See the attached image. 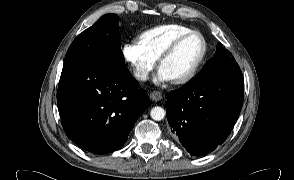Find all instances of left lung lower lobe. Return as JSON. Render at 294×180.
<instances>
[{"label": "left lung lower lobe", "instance_id": "obj_1", "mask_svg": "<svg viewBox=\"0 0 294 180\" xmlns=\"http://www.w3.org/2000/svg\"><path fill=\"white\" fill-rule=\"evenodd\" d=\"M241 73L222 74L203 82H188L167 95L171 137L191 155H205L221 145L243 105Z\"/></svg>", "mask_w": 294, "mask_h": 180}]
</instances>
